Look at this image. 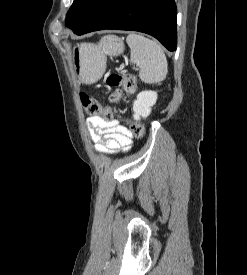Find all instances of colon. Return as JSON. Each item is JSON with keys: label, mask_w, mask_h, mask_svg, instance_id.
<instances>
[{"label": "colon", "mask_w": 247, "mask_h": 275, "mask_svg": "<svg viewBox=\"0 0 247 275\" xmlns=\"http://www.w3.org/2000/svg\"><path fill=\"white\" fill-rule=\"evenodd\" d=\"M107 85L114 88V91L109 96V102L114 104L121 98V86H123L127 92L135 91L136 79L134 75L129 73H111L107 77ZM80 99L87 114L102 115L106 119H110L112 117V110L109 106H102L96 99L86 94H81ZM128 124L135 136H144L145 129L140 123L136 121H129Z\"/></svg>", "instance_id": "5ec220e1"}]
</instances>
